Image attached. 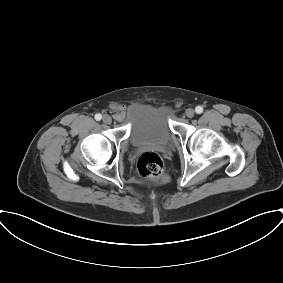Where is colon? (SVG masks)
I'll return each instance as SVG.
<instances>
[{
  "mask_svg": "<svg viewBox=\"0 0 283 283\" xmlns=\"http://www.w3.org/2000/svg\"><path fill=\"white\" fill-rule=\"evenodd\" d=\"M139 173L146 179H159L164 173V164L161 157L155 152L143 153L137 163Z\"/></svg>",
  "mask_w": 283,
  "mask_h": 283,
  "instance_id": "5ec220e1",
  "label": "colon"
}]
</instances>
